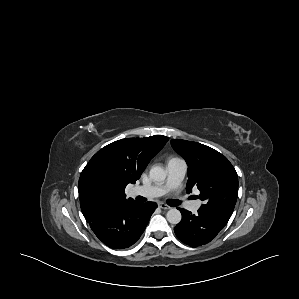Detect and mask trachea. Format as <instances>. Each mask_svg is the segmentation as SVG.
<instances>
[{
	"instance_id": "1",
	"label": "trachea",
	"mask_w": 299,
	"mask_h": 299,
	"mask_svg": "<svg viewBox=\"0 0 299 299\" xmlns=\"http://www.w3.org/2000/svg\"><path fill=\"white\" fill-rule=\"evenodd\" d=\"M167 203L170 205V206H177L180 204V201L179 200H168Z\"/></svg>"
}]
</instances>
